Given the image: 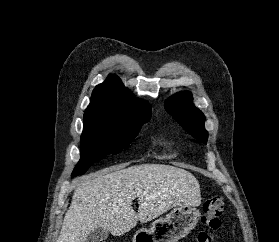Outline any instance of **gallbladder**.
Wrapping results in <instances>:
<instances>
[{
    "label": "gallbladder",
    "mask_w": 279,
    "mask_h": 242,
    "mask_svg": "<svg viewBox=\"0 0 279 242\" xmlns=\"http://www.w3.org/2000/svg\"><path fill=\"white\" fill-rule=\"evenodd\" d=\"M108 237V231L102 227L93 230L85 242H103Z\"/></svg>",
    "instance_id": "obj_1"
}]
</instances>
